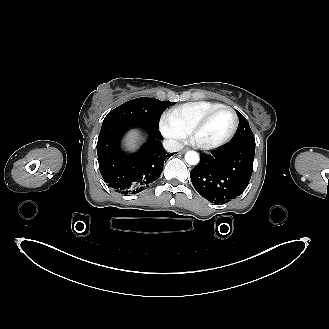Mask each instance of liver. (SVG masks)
<instances>
[{
	"label": "liver",
	"mask_w": 329,
	"mask_h": 329,
	"mask_svg": "<svg viewBox=\"0 0 329 329\" xmlns=\"http://www.w3.org/2000/svg\"><path fill=\"white\" fill-rule=\"evenodd\" d=\"M136 139L137 137L135 132H132L127 139V147L129 149H133L136 146Z\"/></svg>",
	"instance_id": "liver-1"
}]
</instances>
